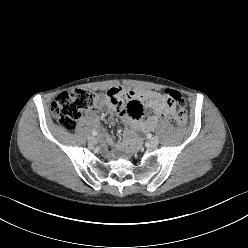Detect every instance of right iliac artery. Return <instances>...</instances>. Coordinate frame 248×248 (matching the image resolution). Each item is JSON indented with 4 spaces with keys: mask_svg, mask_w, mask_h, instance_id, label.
<instances>
[{
    "mask_svg": "<svg viewBox=\"0 0 248 248\" xmlns=\"http://www.w3.org/2000/svg\"><path fill=\"white\" fill-rule=\"evenodd\" d=\"M92 134H93L94 136H96V135H97V132H96L95 130H93V131H92Z\"/></svg>",
    "mask_w": 248,
    "mask_h": 248,
    "instance_id": "obj_1",
    "label": "right iliac artery"
}]
</instances>
